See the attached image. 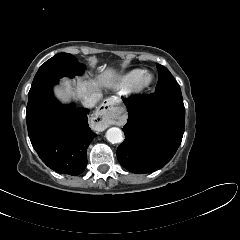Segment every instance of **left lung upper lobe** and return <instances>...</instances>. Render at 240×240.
Masks as SVG:
<instances>
[{
	"mask_svg": "<svg viewBox=\"0 0 240 240\" xmlns=\"http://www.w3.org/2000/svg\"><path fill=\"white\" fill-rule=\"evenodd\" d=\"M157 68L159 71V80L155 91L180 90L179 85L166 67L158 64Z\"/></svg>",
	"mask_w": 240,
	"mask_h": 240,
	"instance_id": "5c2ea615",
	"label": "left lung upper lobe"
}]
</instances>
